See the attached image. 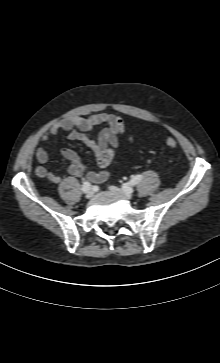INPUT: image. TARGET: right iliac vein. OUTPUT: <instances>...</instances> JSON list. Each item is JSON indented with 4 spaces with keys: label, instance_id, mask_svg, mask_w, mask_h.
<instances>
[{
    "label": "right iliac vein",
    "instance_id": "obj_1",
    "mask_svg": "<svg viewBox=\"0 0 220 363\" xmlns=\"http://www.w3.org/2000/svg\"><path fill=\"white\" fill-rule=\"evenodd\" d=\"M85 196H86L87 199H90V198L93 197V192L92 191H88Z\"/></svg>",
    "mask_w": 220,
    "mask_h": 363
}]
</instances>
